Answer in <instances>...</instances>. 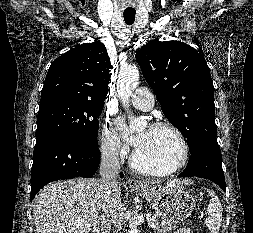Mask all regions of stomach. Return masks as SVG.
Instances as JSON below:
<instances>
[{
    "instance_id": "1",
    "label": "stomach",
    "mask_w": 253,
    "mask_h": 233,
    "mask_svg": "<svg viewBox=\"0 0 253 233\" xmlns=\"http://www.w3.org/2000/svg\"><path fill=\"white\" fill-rule=\"evenodd\" d=\"M135 192L145 197L155 213L169 224H177L189 217L195 208V199L179 185L143 183Z\"/></svg>"
}]
</instances>
